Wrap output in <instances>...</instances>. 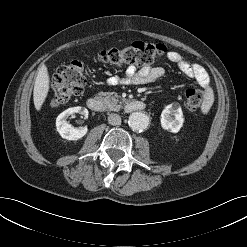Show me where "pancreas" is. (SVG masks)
Masks as SVG:
<instances>
[{
	"label": "pancreas",
	"mask_w": 247,
	"mask_h": 247,
	"mask_svg": "<svg viewBox=\"0 0 247 247\" xmlns=\"http://www.w3.org/2000/svg\"><path fill=\"white\" fill-rule=\"evenodd\" d=\"M100 98L106 103L110 110H119L122 103H127L128 100L121 98L117 93L114 92H100Z\"/></svg>",
	"instance_id": "pancreas-1"
}]
</instances>
